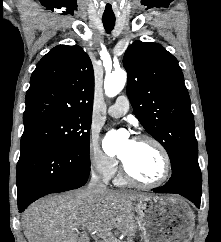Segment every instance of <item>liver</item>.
Listing matches in <instances>:
<instances>
[{
    "mask_svg": "<svg viewBox=\"0 0 221 242\" xmlns=\"http://www.w3.org/2000/svg\"><path fill=\"white\" fill-rule=\"evenodd\" d=\"M146 197L136 192L87 189L46 197L23 213L24 235L28 242H89L82 231L85 228H117L134 236L133 202Z\"/></svg>",
    "mask_w": 221,
    "mask_h": 242,
    "instance_id": "6515ba94",
    "label": "liver"
}]
</instances>
